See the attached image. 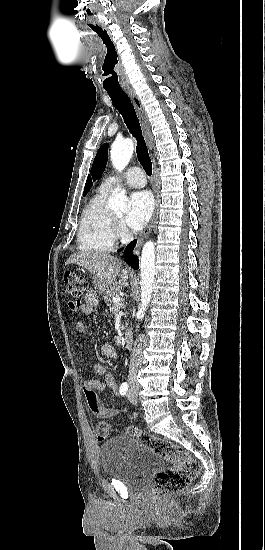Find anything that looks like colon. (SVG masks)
I'll list each match as a JSON object with an SVG mask.
<instances>
[{
  "label": "colon",
  "instance_id": "obj_1",
  "mask_svg": "<svg viewBox=\"0 0 265 550\" xmlns=\"http://www.w3.org/2000/svg\"><path fill=\"white\" fill-rule=\"evenodd\" d=\"M66 290L75 298L70 303V308L78 312L81 310V297L88 292V283L85 277L73 272L64 275ZM111 425L107 421H100L96 425V435L99 440H105L110 433ZM125 433L137 437L144 445L148 446L158 456L170 463V467L160 470L152 483L151 494L154 498H164L172 495L188 486L190 481L199 474L198 462L184 449L161 439L145 430L129 426Z\"/></svg>",
  "mask_w": 265,
  "mask_h": 550
}]
</instances>
